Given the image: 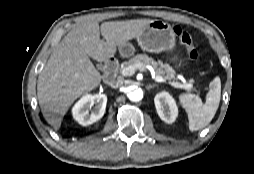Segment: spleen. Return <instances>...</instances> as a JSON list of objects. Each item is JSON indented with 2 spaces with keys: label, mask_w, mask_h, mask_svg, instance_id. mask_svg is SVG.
I'll return each mask as SVG.
<instances>
[{
  "label": "spleen",
  "mask_w": 254,
  "mask_h": 174,
  "mask_svg": "<svg viewBox=\"0 0 254 174\" xmlns=\"http://www.w3.org/2000/svg\"><path fill=\"white\" fill-rule=\"evenodd\" d=\"M221 81L219 77L210 83V90L206 96V102L202 103L199 96L184 93L179 96V101L185 109L190 131H197L207 126L213 119L220 102Z\"/></svg>",
  "instance_id": "3e777b00"
}]
</instances>
